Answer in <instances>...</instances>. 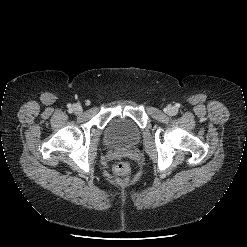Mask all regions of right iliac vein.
<instances>
[{"instance_id": "63e3f726", "label": "right iliac vein", "mask_w": 247, "mask_h": 247, "mask_svg": "<svg viewBox=\"0 0 247 247\" xmlns=\"http://www.w3.org/2000/svg\"><path fill=\"white\" fill-rule=\"evenodd\" d=\"M73 109H74V111H75L76 113L82 112V108H81V106H79V105H74Z\"/></svg>"}]
</instances>
